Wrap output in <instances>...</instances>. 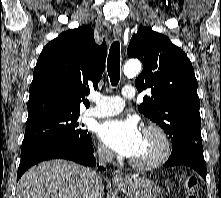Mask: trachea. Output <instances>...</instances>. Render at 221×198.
I'll return each instance as SVG.
<instances>
[{
  "label": "trachea",
  "mask_w": 221,
  "mask_h": 198,
  "mask_svg": "<svg viewBox=\"0 0 221 198\" xmlns=\"http://www.w3.org/2000/svg\"><path fill=\"white\" fill-rule=\"evenodd\" d=\"M107 71L110 77L111 85L116 86L120 80V43H112L107 59Z\"/></svg>",
  "instance_id": "obj_1"
}]
</instances>
